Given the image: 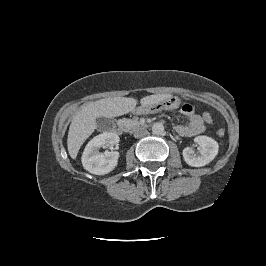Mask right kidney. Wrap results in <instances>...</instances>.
<instances>
[{
	"instance_id": "obj_1",
	"label": "right kidney",
	"mask_w": 266,
	"mask_h": 266,
	"mask_svg": "<svg viewBox=\"0 0 266 266\" xmlns=\"http://www.w3.org/2000/svg\"><path fill=\"white\" fill-rule=\"evenodd\" d=\"M118 142L119 136L111 132H104L90 140L82 155L84 169L96 175L111 172L117 166L119 153L117 151L100 153L99 148L103 145L113 147Z\"/></svg>"
}]
</instances>
